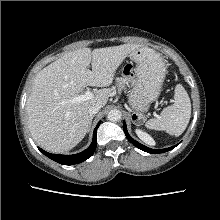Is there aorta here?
I'll use <instances>...</instances> for the list:
<instances>
[{
    "mask_svg": "<svg viewBox=\"0 0 220 220\" xmlns=\"http://www.w3.org/2000/svg\"><path fill=\"white\" fill-rule=\"evenodd\" d=\"M121 117H122V113L117 109L111 110L107 115V119L111 122L120 121Z\"/></svg>",
    "mask_w": 220,
    "mask_h": 220,
    "instance_id": "762f6f07",
    "label": "aorta"
}]
</instances>
